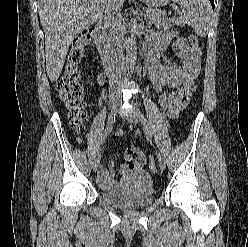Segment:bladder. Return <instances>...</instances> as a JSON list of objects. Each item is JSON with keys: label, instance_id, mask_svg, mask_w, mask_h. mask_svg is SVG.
I'll use <instances>...</instances> for the list:
<instances>
[{"label": "bladder", "instance_id": "1", "mask_svg": "<svg viewBox=\"0 0 248 247\" xmlns=\"http://www.w3.org/2000/svg\"><path fill=\"white\" fill-rule=\"evenodd\" d=\"M156 189L151 175L145 170H134L119 193L102 191L104 200L122 208L146 206L154 198Z\"/></svg>", "mask_w": 248, "mask_h": 247}]
</instances>
